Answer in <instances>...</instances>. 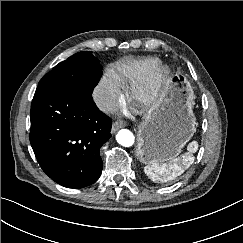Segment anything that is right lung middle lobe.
<instances>
[{
    "mask_svg": "<svg viewBox=\"0 0 243 243\" xmlns=\"http://www.w3.org/2000/svg\"><path fill=\"white\" fill-rule=\"evenodd\" d=\"M100 76L98 59L90 51L79 52L56 65L40 80L38 87L65 90L78 86L94 88Z\"/></svg>",
    "mask_w": 243,
    "mask_h": 243,
    "instance_id": "right-lung-middle-lobe-1",
    "label": "right lung middle lobe"
}]
</instances>
